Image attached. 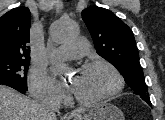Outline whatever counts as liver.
<instances>
[{
  "instance_id": "liver-1",
  "label": "liver",
  "mask_w": 165,
  "mask_h": 120,
  "mask_svg": "<svg viewBox=\"0 0 165 120\" xmlns=\"http://www.w3.org/2000/svg\"><path fill=\"white\" fill-rule=\"evenodd\" d=\"M84 109L71 114L76 117ZM42 105L14 89L0 85V120H43Z\"/></svg>"
}]
</instances>
